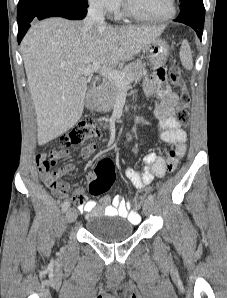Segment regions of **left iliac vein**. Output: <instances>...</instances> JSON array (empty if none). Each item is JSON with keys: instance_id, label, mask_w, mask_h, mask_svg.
I'll return each mask as SVG.
<instances>
[{"instance_id": "1", "label": "left iliac vein", "mask_w": 227, "mask_h": 298, "mask_svg": "<svg viewBox=\"0 0 227 298\" xmlns=\"http://www.w3.org/2000/svg\"><path fill=\"white\" fill-rule=\"evenodd\" d=\"M153 211V202L150 200H146L143 206V213L146 216H149Z\"/></svg>"}]
</instances>
